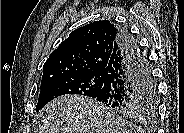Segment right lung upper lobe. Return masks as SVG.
Masks as SVG:
<instances>
[{"instance_id":"1","label":"right lung upper lobe","mask_w":184,"mask_h":133,"mask_svg":"<svg viewBox=\"0 0 184 133\" xmlns=\"http://www.w3.org/2000/svg\"><path fill=\"white\" fill-rule=\"evenodd\" d=\"M119 36L120 29L109 20L74 30L45 62L41 86L64 77L103 74Z\"/></svg>"}]
</instances>
